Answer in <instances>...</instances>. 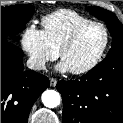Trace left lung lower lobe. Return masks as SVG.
I'll use <instances>...</instances> for the list:
<instances>
[{
    "label": "left lung lower lobe",
    "instance_id": "obj_1",
    "mask_svg": "<svg viewBox=\"0 0 123 123\" xmlns=\"http://www.w3.org/2000/svg\"><path fill=\"white\" fill-rule=\"evenodd\" d=\"M63 123H123V53L106 57L78 80L57 84Z\"/></svg>",
    "mask_w": 123,
    "mask_h": 123
}]
</instances>
